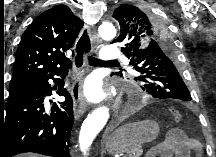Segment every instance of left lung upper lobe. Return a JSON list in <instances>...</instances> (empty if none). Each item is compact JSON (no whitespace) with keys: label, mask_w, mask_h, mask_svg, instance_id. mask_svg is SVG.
I'll return each mask as SVG.
<instances>
[{"label":"left lung upper lobe","mask_w":216,"mask_h":157,"mask_svg":"<svg viewBox=\"0 0 216 157\" xmlns=\"http://www.w3.org/2000/svg\"><path fill=\"white\" fill-rule=\"evenodd\" d=\"M113 18L120 25V35L113 43H122L129 65L139 74L135 79L143 82L141 88L157 99L190 101L172 35L162 19L151 15V10L130 4L117 7Z\"/></svg>","instance_id":"1"}]
</instances>
